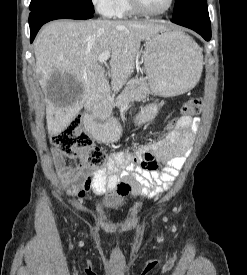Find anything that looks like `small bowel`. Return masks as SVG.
<instances>
[{"label":"small bowel","instance_id":"1","mask_svg":"<svg viewBox=\"0 0 247 275\" xmlns=\"http://www.w3.org/2000/svg\"><path fill=\"white\" fill-rule=\"evenodd\" d=\"M86 123L90 126L91 119ZM198 117H181L175 130L163 141L141 146L136 155L122 151L109 155L106 166L91 171L84 159L67 164L63 152L53 151V163L63 189L79 199H87L91 192L96 196L124 197L132 192L134 197L155 198L167 191L183 167L191 151ZM120 183L130 186L128 194H119Z\"/></svg>","mask_w":247,"mask_h":275}]
</instances>
